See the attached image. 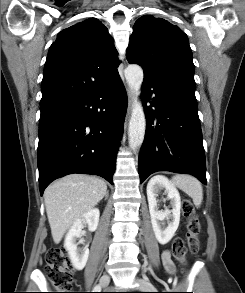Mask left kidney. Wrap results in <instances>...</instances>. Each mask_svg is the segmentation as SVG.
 Returning <instances> with one entry per match:
<instances>
[{"mask_svg": "<svg viewBox=\"0 0 245 293\" xmlns=\"http://www.w3.org/2000/svg\"><path fill=\"white\" fill-rule=\"evenodd\" d=\"M165 189L167 198L170 200L172 210L160 211L157 205L158 193ZM147 198L151 223L156 239L160 244L168 243L174 236L180 222L181 199L178 190L164 176H154L147 184ZM168 225L165 226V220ZM171 219V221H169Z\"/></svg>", "mask_w": 245, "mask_h": 293, "instance_id": "5707ae66", "label": "left kidney"}]
</instances>
